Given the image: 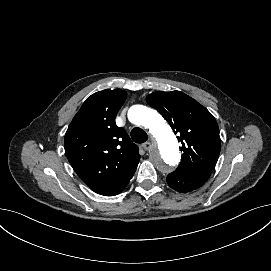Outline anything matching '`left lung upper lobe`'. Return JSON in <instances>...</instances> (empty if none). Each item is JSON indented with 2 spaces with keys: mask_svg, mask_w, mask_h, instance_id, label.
Returning a JSON list of instances; mask_svg holds the SVG:
<instances>
[{
  "mask_svg": "<svg viewBox=\"0 0 271 271\" xmlns=\"http://www.w3.org/2000/svg\"><path fill=\"white\" fill-rule=\"evenodd\" d=\"M148 104L158 110L178 133L183 151L176 172L211 174L221 148L214 116L196 100L180 91H157L147 95Z\"/></svg>",
  "mask_w": 271,
  "mask_h": 271,
  "instance_id": "obj_1",
  "label": "left lung upper lobe"
}]
</instances>
